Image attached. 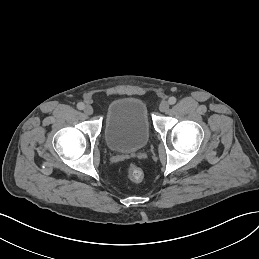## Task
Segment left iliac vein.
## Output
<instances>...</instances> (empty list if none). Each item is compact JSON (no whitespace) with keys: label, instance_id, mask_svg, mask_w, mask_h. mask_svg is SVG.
Returning a JSON list of instances; mask_svg holds the SVG:
<instances>
[{"label":"left iliac vein","instance_id":"1","mask_svg":"<svg viewBox=\"0 0 259 259\" xmlns=\"http://www.w3.org/2000/svg\"><path fill=\"white\" fill-rule=\"evenodd\" d=\"M168 109H169V104H168V102H166V101L161 102V104H160V106H159V110H160L161 112H167Z\"/></svg>","mask_w":259,"mask_h":259}]
</instances>
